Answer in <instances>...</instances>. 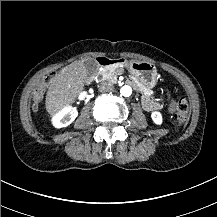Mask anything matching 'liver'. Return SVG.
<instances>
[{
  "label": "liver",
  "instance_id": "1",
  "mask_svg": "<svg viewBox=\"0 0 217 217\" xmlns=\"http://www.w3.org/2000/svg\"><path fill=\"white\" fill-rule=\"evenodd\" d=\"M88 80V71L83 61H74L62 68L51 79L45 100L47 112L54 116L64 106L74 103Z\"/></svg>",
  "mask_w": 217,
  "mask_h": 217
}]
</instances>
